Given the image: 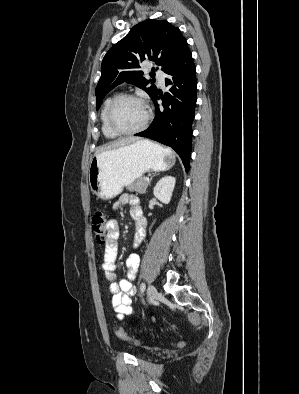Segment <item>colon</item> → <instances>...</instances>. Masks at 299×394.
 Masks as SVG:
<instances>
[{
    "mask_svg": "<svg viewBox=\"0 0 299 394\" xmlns=\"http://www.w3.org/2000/svg\"><path fill=\"white\" fill-rule=\"evenodd\" d=\"M92 232L98 243H104L107 240V214L105 211L98 209L92 215ZM117 336L122 340H128V336L121 327L116 328ZM181 345H184L182 343Z\"/></svg>",
    "mask_w": 299,
    "mask_h": 394,
    "instance_id": "5ec220e1",
    "label": "colon"
}]
</instances>
